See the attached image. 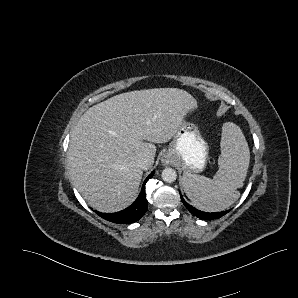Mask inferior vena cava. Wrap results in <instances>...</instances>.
Segmentation results:
<instances>
[{
  "label": "inferior vena cava",
  "instance_id": "obj_1",
  "mask_svg": "<svg viewBox=\"0 0 298 298\" xmlns=\"http://www.w3.org/2000/svg\"><path fill=\"white\" fill-rule=\"evenodd\" d=\"M137 166L142 170H148L151 167L149 161L146 158H140L137 162Z\"/></svg>",
  "mask_w": 298,
  "mask_h": 298
}]
</instances>
